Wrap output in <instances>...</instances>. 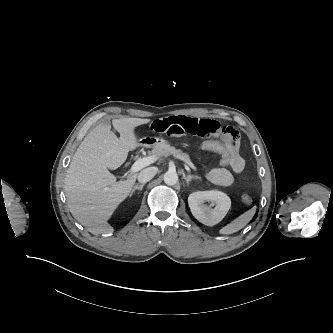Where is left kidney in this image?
I'll use <instances>...</instances> for the list:
<instances>
[{
    "instance_id": "obj_1",
    "label": "left kidney",
    "mask_w": 333,
    "mask_h": 333,
    "mask_svg": "<svg viewBox=\"0 0 333 333\" xmlns=\"http://www.w3.org/2000/svg\"><path fill=\"white\" fill-rule=\"evenodd\" d=\"M205 202L215 205L208 207ZM188 204L193 216L202 224L213 226L219 223L231 206L230 198L217 190L197 191L189 195Z\"/></svg>"
}]
</instances>
